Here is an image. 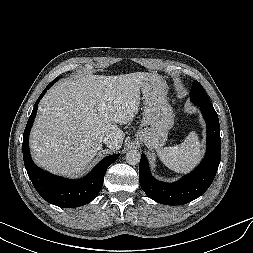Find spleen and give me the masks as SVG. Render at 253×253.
<instances>
[{
    "label": "spleen",
    "mask_w": 253,
    "mask_h": 253,
    "mask_svg": "<svg viewBox=\"0 0 253 253\" xmlns=\"http://www.w3.org/2000/svg\"><path fill=\"white\" fill-rule=\"evenodd\" d=\"M157 153L169 169L177 173H187L199 163L202 150L197 134L190 132L181 144L159 148Z\"/></svg>",
    "instance_id": "3e777b00"
}]
</instances>
